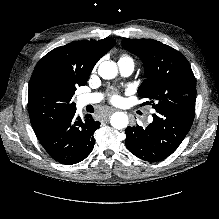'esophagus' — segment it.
<instances>
[{
  "instance_id": "1",
  "label": "esophagus",
  "mask_w": 219,
  "mask_h": 219,
  "mask_svg": "<svg viewBox=\"0 0 219 219\" xmlns=\"http://www.w3.org/2000/svg\"><path fill=\"white\" fill-rule=\"evenodd\" d=\"M117 109H115V108H111V109H109L108 111H107V113L108 114H111V113H113V112H115ZM107 119V118H106Z\"/></svg>"
}]
</instances>
